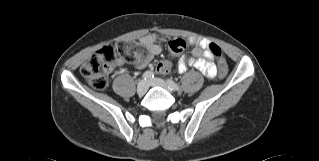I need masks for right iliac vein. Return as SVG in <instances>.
Instances as JSON below:
<instances>
[{
	"instance_id": "right-iliac-vein-1",
	"label": "right iliac vein",
	"mask_w": 319,
	"mask_h": 161,
	"mask_svg": "<svg viewBox=\"0 0 319 161\" xmlns=\"http://www.w3.org/2000/svg\"><path fill=\"white\" fill-rule=\"evenodd\" d=\"M147 89H148V83H147V81L141 80V81L138 83V86H137V93H138V95H144V94L147 92Z\"/></svg>"
}]
</instances>
